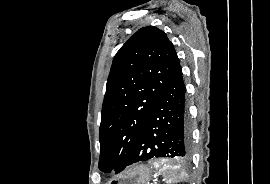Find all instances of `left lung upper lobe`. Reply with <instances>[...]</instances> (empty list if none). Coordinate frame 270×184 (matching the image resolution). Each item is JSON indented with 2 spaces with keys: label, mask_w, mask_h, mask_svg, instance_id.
<instances>
[{
  "label": "left lung upper lobe",
  "mask_w": 270,
  "mask_h": 184,
  "mask_svg": "<svg viewBox=\"0 0 270 184\" xmlns=\"http://www.w3.org/2000/svg\"><path fill=\"white\" fill-rule=\"evenodd\" d=\"M180 66L173 44L154 26L117 52L107 81L99 132V169L121 172L161 93Z\"/></svg>",
  "instance_id": "obj_1"
}]
</instances>
